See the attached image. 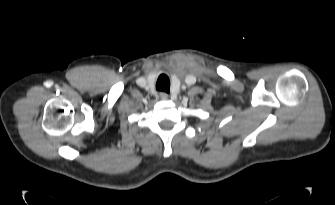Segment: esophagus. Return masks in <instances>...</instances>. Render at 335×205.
Listing matches in <instances>:
<instances>
[{"mask_svg":"<svg viewBox=\"0 0 335 205\" xmlns=\"http://www.w3.org/2000/svg\"><path fill=\"white\" fill-rule=\"evenodd\" d=\"M159 96H160V98L162 99V100H167L168 99V94L167 93H165V92H161L160 94H159Z\"/></svg>","mask_w":335,"mask_h":205,"instance_id":"obj_1","label":"esophagus"}]
</instances>
